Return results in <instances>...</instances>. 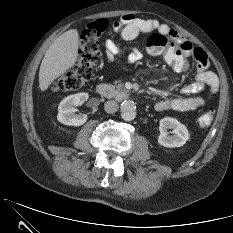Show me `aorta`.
I'll list each match as a JSON object with an SVG mask.
<instances>
[{
    "mask_svg": "<svg viewBox=\"0 0 233 233\" xmlns=\"http://www.w3.org/2000/svg\"><path fill=\"white\" fill-rule=\"evenodd\" d=\"M121 117L125 121H131L136 117V104L132 100H124L121 103Z\"/></svg>",
    "mask_w": 233,
    "mask_h": 233,
    "instance_id": "762f6f07",
    "label": "aorta"
}]
</instances>
